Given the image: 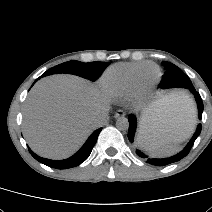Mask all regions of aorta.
Segmentation results:
<instances>
[{
  "instance_id": "762f6f07",
  "label": "aorta",
  "mask_w": 212,
  "mask_h": 212,
  "mask_svg": "<svg viewBox=\"0 0 212 212\" xmlns=\"http://www.w3.org/2000/svg\"><path fill=\"white\" fill-rule=\"evenodd\" d=\"M116 127H117V129H119L121 131L128 130V128H129L128 119L125 117H119L116 121Z\"/></svg>"
}]
</instances>
